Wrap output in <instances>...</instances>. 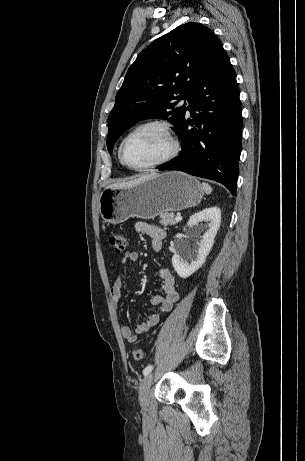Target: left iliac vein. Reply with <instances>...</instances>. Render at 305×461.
Masks as SVG:
<instances>
[{
  "instance_id": "4c4485c4",
  "label": "left iliac vein",
  "mask_w": 305,
  "mask_h": 461,
  "mask_svg": "<svg viewBox=\"0 0 305 461\" xmlns=\"http://www.w3.org/2000/svg\"><path fill=\"white\" fill-rule=\"evenodd\" d=\"M153 381V375H146L140 383L139 387V402L142 406H145L148 402V394Z\"/></svg>"
}]
</instances>
